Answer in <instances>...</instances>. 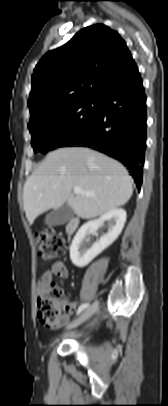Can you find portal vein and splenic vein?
I'll list each match as a JSON object with an SVG mask.
<instances>
[{
    "instance_id": "portal-vein-and-splenic-vein-1",
    "label": "portal vein and splenic vein",
    "mask_w": 168,
    "mask_h": 406,
    "mask_svg": "<svg viewBox=\"0 0 168 406\" xmlns=\"http://www.w3.org/2000/svg\"><path fill=\"white\" fill-rule=\"evenodd\" d=\"M73 192L75 193V194H84V195H86V196H95L93 193H91V192H86V191H83L80 187H74L73 188Z\"/></svg>"
}]
</instances>
